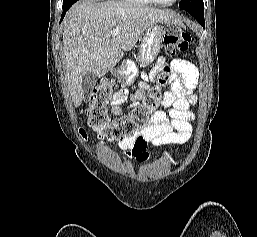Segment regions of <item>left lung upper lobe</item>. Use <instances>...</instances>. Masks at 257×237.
I'll return each instance as SVG.
<instances>
[{"label":"left lung upper lobe","instance_id":"obj_1","mask_svg":"<svg viewBox=\"0 0 257 237\" xmlns=\"http://www.w3.org/2000/svg\"><path fill=\"white\" fill-rule=\"evenodd\" d=\"M179 7L189 13H204L203 0H181Z\"/></svg>","mask_w":257,"mask_h":237}]
</instances>
